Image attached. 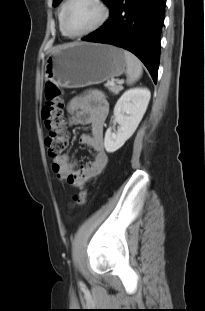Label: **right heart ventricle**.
<instances>
[{
  "instance_id": "e07e8e85",
  "label": "right heart ventricle",
  "mask_w": 205,
  "mask_h": 311,
  "mask_svg": "<svg viewBox=\"0 0 205 311\" xmlns=\"http://www.w3.org/2000/svg\"><path fill=\"white\" fill-rule=\"evenodd\" d=\"M66 0H64L62 2V4L60 5L59 11H58V23H59V29L62 33V35L66 36V34L64 33L63 29H62V15H63V7L65 4Z\"/></svg>"
}]
</instances>
